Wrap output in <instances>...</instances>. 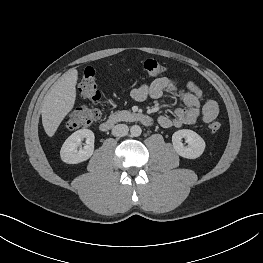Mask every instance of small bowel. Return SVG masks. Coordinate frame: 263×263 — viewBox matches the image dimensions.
Segmentation results:
<instances>
[{"mask_svg":"<svg viewBox=\"0 0 263 263\" xmlns=\"http://www.w3.org/2000/svg\"><path fill=\"white\" fill-rule=\"evenodd\" d=\"M172 94H178L185 107L177 108L172 117L161 115L158 118V123L163 128L194 125L199 119L209 123L218 115L217 103L206 98L202 90L192 81L187 83L185 91L179 92L178 83L174 79L158 77L149 84L134 88L131 92L132 98L137 102H143L148 97L159 99Z\"/></svg>","mask_w":263,"mask_h":263,"instance_id":"obj_1","label":"small bowel"}]
</instances>
